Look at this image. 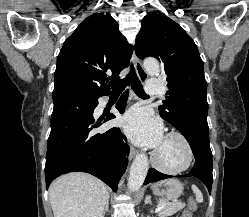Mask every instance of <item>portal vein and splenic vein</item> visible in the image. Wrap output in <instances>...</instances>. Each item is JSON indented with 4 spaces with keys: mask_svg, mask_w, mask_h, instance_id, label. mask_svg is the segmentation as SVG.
Segmentation results:
<instances>
[{
    "mask_svg": "<svg viewBox=\"0 0 249 217\" xmlns=\"http://www.w3.org/2000/svg\"><path fill=\"white\" fill-rule=\"evenodd\" d=\"M163 208H164V205H159V206L156 208L155 212L158 213V212H160Z\"/></svg>",
    "mask_w": 249,
    "mask_h": 217,
    "instance_id": "portal-vein-and-splenic-vein-1",
    "label": "portal vein and splenic vein"
}]
</instances>
